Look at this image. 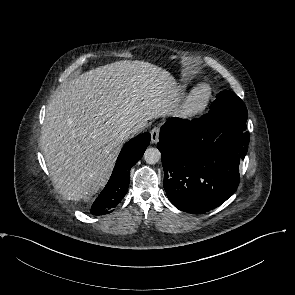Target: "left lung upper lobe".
<instances>
[{
	"mask_svg": "<svg viewBox=\"0 0 295 295\" xmlns=\"http://www.w3.org/2000/svg\"><path fill=\"white\" fill-rule=\"evenodd\" d=\"M210 115L246 124L248 112L243 101L232 91H222L212 103Z\"/></svg>",
	"mask_w": 295,
	"mask_h": 295,
	"instance_id": "obj_1",
	"label": "left lung upper lobe"
}]
</instances>
